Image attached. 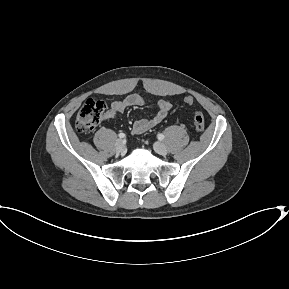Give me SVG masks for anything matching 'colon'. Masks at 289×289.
Wrapping results in <instances>:
<instances>
[{
    "instance_id": "colon-1",
    "label": "colon",
    "mask_w": 289,
    "mask_h": 289,
    "mask_svg": "<svg viewBox=\"0 0 289 289\" xmlns=\"http://www.w3.org/2000/svg\"><path fill=\"white\" fill-rule=\"evenodd\" d=\"M184 102L187 105H193L194 99L186 96ZM106 110V104L101 100L88 99L76 117V127L81 132L92 131L101 121ZM194 127L198 132L205 128V119L201 111H195L193 117Z\"/></svg>"
}]
</instances>
